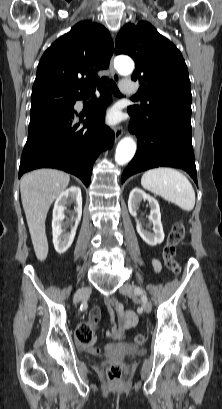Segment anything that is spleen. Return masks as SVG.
Segmentation results:
<instances>
[{
	"label": "spleen",
	"instance_id": "spleen-1",
	"mask_svg": "<svg viewBox=\"0 0 222 409\" xmlns=\"http://www.w3.org/2000/svg\"><path fill=\"white\" fill-rule=\"evenodd\" d=\"M141 185L184 211H191L195 206L194 189L187 177L178 170L167 167L148 170L141 178Z\"/></svg>",
	"mask_w": 222,
	"mask_h": 409
}]
</instances>
